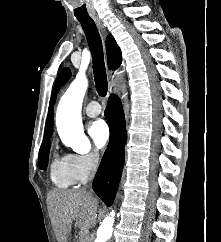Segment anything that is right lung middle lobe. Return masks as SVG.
Instances as JSON below:
<instances>
[{
  "instance_id": "1",
  "label": "right lung middle lobe",
  "mask_w": 221,
  "mask_h": 242,
  "mask_svg": "<svg viewBox=\"0 0 221 242\" xmlns=\"http://www.w3.org/2000/svg\"><path fill=\"white\" fill-rule=\"evenodd\" d=\"M50 137L44 138L39 150V167L40 169H46L48 164V155L50 150Z\"/></svg>"
}]
</instances>
